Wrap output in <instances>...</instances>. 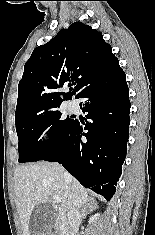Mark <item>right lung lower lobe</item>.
Instances as JSON below:
<instances>
[{"label": "right lung lower lobe", "instance_id": "1", "mask_svg": "<svg viewBox=\"0 0 155 235\" xmlns=\"http://www.w3.org/2000/svg\"><path fill=\"white\" fill-rule=\"evenodd\" d=\"M78 98L85 99L82 111L90 121L75 120L64 144L44 160L61 163L84 187L109 201L122 173L129 137L131 104L125 73L121 69L95 82Z\"/></svg>", "mask_w": 155, "mask_h": 235}]
</instances>
